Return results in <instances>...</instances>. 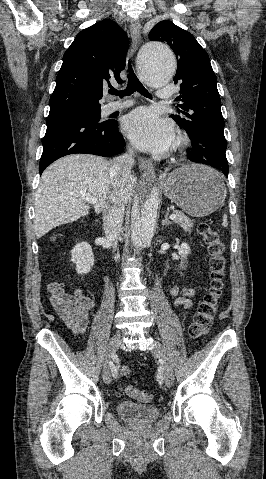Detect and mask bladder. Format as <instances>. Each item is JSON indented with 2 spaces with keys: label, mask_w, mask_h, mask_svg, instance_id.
Listing matches in <instances>:
<instances>
[{
  "label": "bladder",
  "mask_w": 266,
  "mask_h": 479,
  "mask_svg": "<svg viewBox=\"0 0 266 479\" xmlns=\"http://www.w3.org/2000/svg\"><path fill=\"white\" fill-rule=\"evenodd\" d=\"M116 411L121 418L132 424H151L160 416V409L157 406L130 400L117 402Z\"/></svg>",
  "instance_id": "31cf9c89"
}]
</instances>
